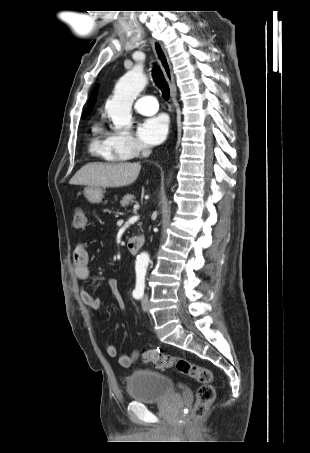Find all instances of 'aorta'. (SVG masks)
I'll list each match as a JSON object with an SVG mask.
<instances>
[{
  "instance_id": "762f6f07",
  "label": "aorta",
  "mask_w": 310,
  "mask_h": 453,
  "mask_svg": "<svg viewBox=\"0 0 310 453\" xmlns=\"http://www.w3.org/2000/svg\"><path fill=\"white\" fill-rule=\"evenodd\" d=\"M147 81L142 69L134 67L117 82L114 94L105 106L108 117L111 118L116 130L130 124L132 104L146 86ZM148 263L149 255L141 253L136 260V269L145 270Z\"/></svg>"
}]
</instances>
